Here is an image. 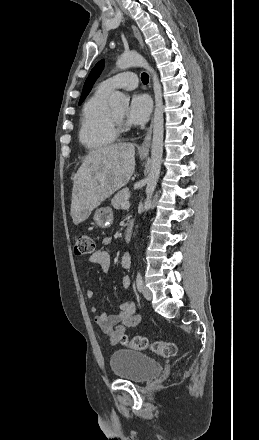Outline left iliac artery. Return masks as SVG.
<instances>
[{"mask_svg":"<svg viewBox=\"0 0 259 440\" xmlns=\"http://www.w3.org/2000/svg\"><path fill=\"white\" fill-rule=\"evenodd\" d=\"M136 285L139 291H141L142 286H143V281H142V276L140 274V272H138L137 277H136Z\"/></svg>","mask_w":259,"mask_h":440,"instance_id":"left-iliac-artery-1","label":"left iliac artery"}]
</instances>
